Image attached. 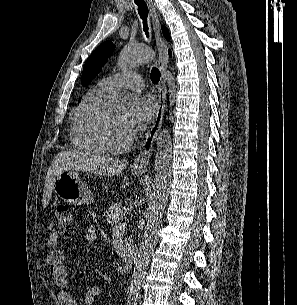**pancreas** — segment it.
Here are the masks:
<instances>
[{
    "instance_id": "pancreas-1",
    "label": "pancreas",
    "mask_w": 297,
    "mask_h": 305,
    "mask_svg": "<svg viewBox=\"0 0 297 305\" xmlns=\"http://www.w3.org/2000/svg\"><path fill=\"white\" fill-rule=\"evenodd\" d=\"M125 216L124 207L121 203H114L111 207L104 213L105 221L108 224L114 226L113 232L115 233L116 230H120L121 234H124L126 227L120 220H123ZM123 226L122 229L119 227ZM132 238L128 237L124 240L125 248L127 249L130 246Z\"/></svg>"
}]
</instances>
